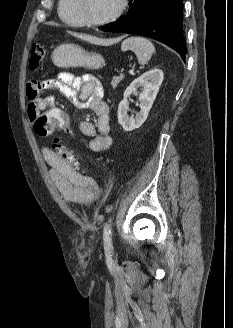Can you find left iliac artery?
<instances>
[{
  "instance_id": "obj_1",
  "label": "left iliac artery",
  "mask_w": 233,
  "mask_h": 328,
  "mask_svg": "<svg viewBox=\"0 0 233 328\" xmlns=\"http://www.w3.org/2000/svg\"><path fill=\"white\" fill-rule=\"evenodd\" d=\"M104 248L109 251L112 249V229L109 223H106L104 226L103 232Z\"/></svg>"
}]
</instances>
